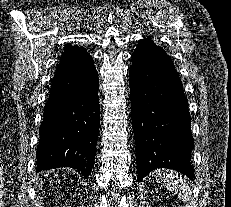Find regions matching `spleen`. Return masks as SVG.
<instances>
[{
  "instance_id": "spleen-1",
  "label": "spleen",
  "mask_w": 231,
  "mask_h": 207,
  "mask_svg": "<svg viewBox=\"0 0 231 207\" xmlns=\"http://www.w3.org/2000/svg\"><path fill=\"white\" fill-rule=\"evenodd\" d=\"M154 175L159 183H163L167 189L178 194L184 202L190 200L186 181L176 172L172 170H157L154 172Z\"/></svg>"
}]
</instances>
